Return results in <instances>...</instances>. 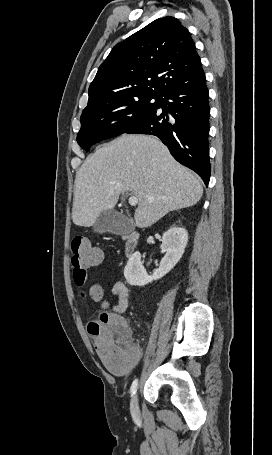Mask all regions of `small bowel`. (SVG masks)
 <instances>
[{"label":"small bowel","instance_id":"1","mask_svg":"<svg viewBox=\"0 0 272 455\" xmlns=\"http://www.w3.org/2000/svg\"><path fill=\"white\" fill-rule=\"evenodd\" d=\"M113 295L117 298V303L111 308V316L120 319V315L123 314L128 306L129 290L123 282H117L113 289ZM140 357V350H136V358L133 362L135 364Z\"/></svg>","mask_w":272,"mask_h":455}]
</instances>
